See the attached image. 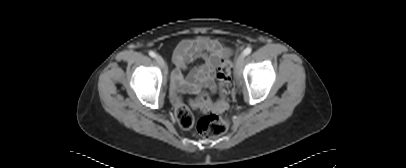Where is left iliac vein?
<instances>
[{
	"mask_svg": "<svg viewBox=\"0 0 406 168\" xmlns=\"http://www.w3.org/2000/svg\"><path fill=\"white\" fill-rule=\"evenodd\" d=\"M244 54H241L237 57L236 61H235V74L237 78L241 77L242 74V64L244 61Z\"/></svg>",
	"mask_w": 406,
	"mask_h": 168,
	"instance_id": "obj_1",
	"label": "left iliac vein"
}]
</instances>
